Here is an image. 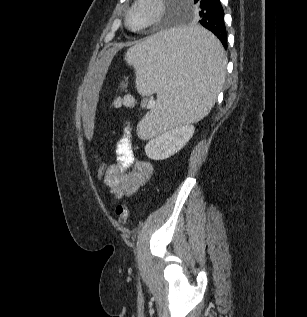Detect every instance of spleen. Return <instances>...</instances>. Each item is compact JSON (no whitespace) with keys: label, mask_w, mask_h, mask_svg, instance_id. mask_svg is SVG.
<instances>
[{"label":"spleen","mask_w":307,"mask_h":317,"mask_svg":"<svg viewBox=\"0 0 307 317\" xmlns=\"http://www.w3.org/2000/svg\"><path fill=\"white\" fill-rule=\"evenodd\" d=\"M125 59L136 70L138 92L158 96L153 111L138 124L143 139L203 119L225 82L224 49L206 26L149 33L127 51Z\"/></svg>","instance_id":"obj_1"}]
</instances>
